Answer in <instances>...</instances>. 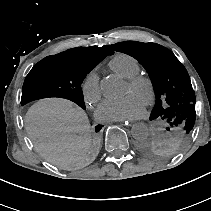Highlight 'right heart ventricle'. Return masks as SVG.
Masks as SVG:
<instances>
[{"mask_svg":"<svg viewBox=\"0 0 211 211\" xmlns=\"http://www.w3.org/2000/svg\"><path fill=\"white\" fill-rule=\"evenodd\" d=\"M109 66L125 79H129L141 71L139 61L134 56L126 53H118L112 57L109 61Z\"/></svg>","mask_w":211,"mask_h":211,"instance_id":"obj_1","label":"right heart ventricle"}]
</instances>
